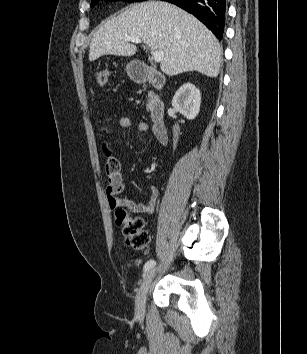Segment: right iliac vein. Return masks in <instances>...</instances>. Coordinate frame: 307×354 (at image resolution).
Here are the masks:
<instances>
[{"label":"right iliac vein","instance_id":"1","mask_svg":"<svg viewBox=\"0 0 307 354\" xmlns=\"http://www.w3.org/2000/svg\"><path fill=\"white\" fill-rule=\"evenodd\" d=\"M157 270H158L157 268L150 270L145 276V278L143 279L141 286L139 288L137 298H136V308H135L136 315L138 316V318L144 317L147 293L156 275Z\"/></svg>","mask_w":307,"mask_h":354}]
</instances>
